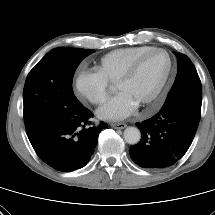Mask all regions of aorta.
<instances>
[{
	"label": "aorta",
	"instance_id": "aorta-1",
	"mask_svg": "<svg viewBox=\"0 0 215 215\" xmlns=\"http://www.w3.org/2000/svg\"><path fill=\"white\" fill-rule=\"evenodd\" d=\"M124 140L131 145L137 144L141 139L140 130L136 127H127L124 130Z\"/></svg>",
	"mask_w": 215,
	"mask_h": 215
}]
</instances>
